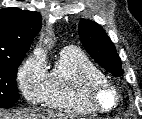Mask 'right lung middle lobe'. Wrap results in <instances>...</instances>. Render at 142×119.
I'll return each instance as SVG.
<instances>
[{
    "mask_svg": "<svg viewBox=\"0 0 142 119\" xmlns=\"http://www.w3.org/2000/svg\"><path fill=\"white\" fill-rule=\"evenodd\" d=\"M23 56L0 60V108L8 107L19 99L16 76Z\"/></svg>",
    "mask_w": 142,
    "mask_h": 119,
    "instance_id": "dd1d6c3e",
    "label": "right lung middle lobe"
}]
</instances>
